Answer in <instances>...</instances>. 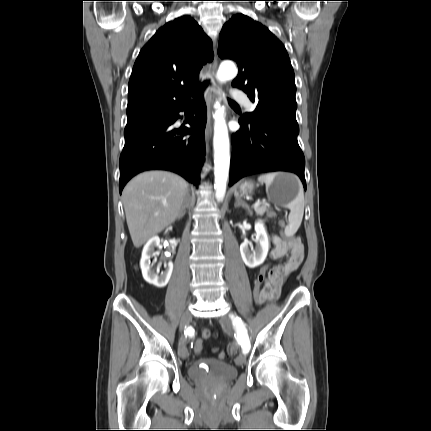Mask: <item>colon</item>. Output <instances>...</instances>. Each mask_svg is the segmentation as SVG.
<instances>
[{"label":"colon","mask_w":431,"mask_h":431,"mask_svg":"<svg viewBox=\"0 0 431 431\" xmlns=\"http://www.w3.org/2000/svg\"><path fill=\"white\" fill-rule=\"evenodd\" d=\"M271 216L277 218V224L280 228V237H284L285 220L281 217H278L274 212L271 213ZM271 267H272V264L268 263V268H271ZM268 268L265 265H262L260 267V272L257 273V277L253 278V284H252L253 290L251 291V298L254 301V304H257L258 301L260 300V294H261L263 284H264L265 278H266L265 273L268 271ZM201 336L203 339H208L212 336V332L210 329L204 328L201 331ZM202 338L200 336H195L193 338V343L195 344L194 345V352H196V354H198V355L201 354L202 348H203V345H202L203 339ZM226 356H227L226 353L222 352V353H220L219 358L225 359Z\"/></svg>","instance_id":"colon-1"}]
</instances>
